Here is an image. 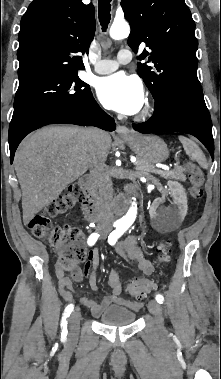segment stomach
Listing matches in <instances>:
<instances>
[{"label":"stomach","mask_w":221,"mask_h":379,"mask_svg":"<svg viewBox=\"0 0 221 379\" xmlns=\"http://www.w3.org/2000/svg\"><path fill=\"white\" fill-rule=\"evenodd\" d=\"M138 159L150 165L164 162L169 156L167 144L158 136L131 134L123 138Z\"/></svg>","instance_id":"0dacf381"}]
</instances>
